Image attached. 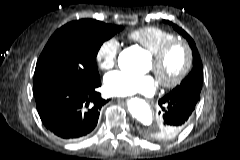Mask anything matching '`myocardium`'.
I'll use <instances>...</instances> for the list:
<instances>
[{"instance_id": "f54148a6", "label": "myocardium", "mask_w": 240, "mask_h": 160, "mask_svg": "<svg viewBox=\"0 0 240 160\" xmlns=\"http://www.w3.org/2000/svg\"><path fill=\"white\" fill-rule=\"evenodd\" d=\"M177 47L182 49L184 53L183 65L173 79L165 80L160 77L159 71L167 60L170 52ZM152 62L153 71L160 86L164 89H174L178 87L189 74L193 63V54L189 44L186 41L175 38L164 44L156 53L152 54Z\"/></svg>"}]
</instances>
